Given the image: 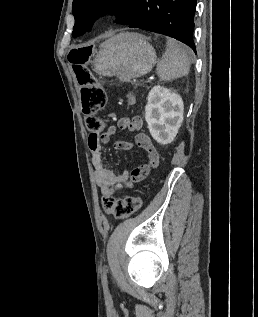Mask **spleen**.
Instances as JSON below:
<instances>
[{"label":"spleen","mask_w":258,"mask_h":317,"mask_svg":"<svg viewBox=\"0 0 258 317\" xmlns=\"http://www.w3.org/2000/svg\"><path fill=\"white\" fill-rule=\"evenodd\" d=\"M193 52L191 48H184L177 40L168 38L167 48L157 64V74L160 80H171L186 76L189 72Z\"/></svg>","instance_id":"obj_1"}]
</instances>
